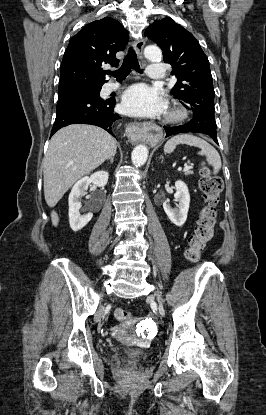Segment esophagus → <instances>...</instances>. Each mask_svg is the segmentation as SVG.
Returning <instances> with one entry per match:
<instances>
[{
  "instance_id": "obj_1",
  "label": "esophagus",
  "mask_w": 266,
  "mask_h": 415,
  "mask_svg": "<svg viewBox=\"0 0 266 415\" xmlns=\"http://www.w3.org/2000/svg\"><path fill=\"white\" fill-rule=\"evenodd\" d=\"M145 45L144 38H139L135 41L134 46L137 55L142 60L143 59V48ZM126 135L131 143H137L145 137L144 126L139 122L130 123L126 127Z\"/></svg>"
}]
</instances>
